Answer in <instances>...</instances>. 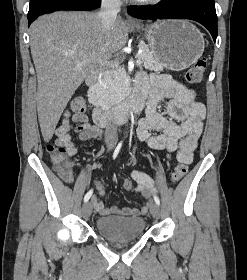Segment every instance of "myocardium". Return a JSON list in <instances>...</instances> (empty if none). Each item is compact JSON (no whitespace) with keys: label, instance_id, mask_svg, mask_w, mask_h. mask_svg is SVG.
Returning <instances> with one entry per match:
<instances>
[{"label":"myocardium","instance_id":"1","mask_svg":"<svg viewBox=\"0 0 247 280\" xmlns=\"http://www.w3.org/2000/svg\"><path fill=\"white\" fill-rule=\"evenodd\" d=\"M133 1L141 5H150V4L159 3L162 0H133Z\"/></svg>","mask_w":247,"mask_h":280}]
</instances>
